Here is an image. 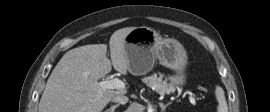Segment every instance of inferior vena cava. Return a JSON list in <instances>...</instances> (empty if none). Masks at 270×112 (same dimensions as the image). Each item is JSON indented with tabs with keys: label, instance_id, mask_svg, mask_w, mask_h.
<instances>
[{
	"label": "inferior vena cava",
	"instance_id": "1",
	"mask_svg": "<svg viewBox=\"0 0 270 112\" xmlns=\"http://www.w3.org/2000/svg\"><path fill=\"white\" fill-rule=\"evenodd\" d=\"M111 101L119 104H126L129 99L124 95H115L111 98Z\"/></svg>",
	"mask_w": 270,
	"mask_h": 112
}]
</instances>
